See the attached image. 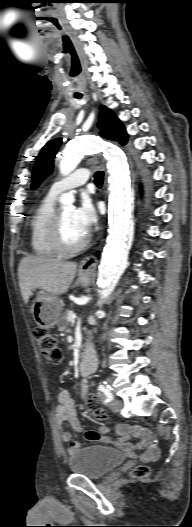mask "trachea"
Returning a JSON list of instances; mask_svg holds the SVG:
<instances>
[{
  "mask_svg": "<svg viewBox=\"0 0 192 527\" xmlns=\"http://www.w3.org/2000/svg\"><path fill=\"white\" fill-rule=\"evenodd\" d=\"M75 97L81 99L82 95H76ZM94 177L96 185L101 186L103 182V172H96Z\"/></svg>",
  "mask_w": 192,
  "mask_h": 527,
  "instance_id": "obj_1",
  "label": "trachea"
}]
</instances>
